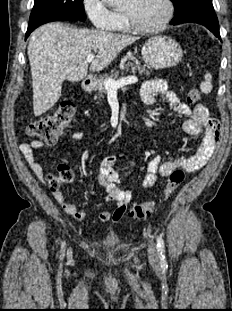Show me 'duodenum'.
Returning a JSON list of instances; mask_svg holds the SVG:
<instances>
[{"mask_svg": "<svg viewBox=\"0 0 232 311\" xmlns=\"http://www.w3.org/2000/svg\"><path fill=\"white\" fill-rule=\"evenodd\" d=\"M91 84H92L91 78H89V77L84 78V79L82 80V83H81L82 89H83L84 91H88V90L90 89V87H91Z\"/></svg>", "mask_w": 232, "mask_h": 311, "instance_id": "duodenum-1", "label": "duodenum"}]
</instances>
